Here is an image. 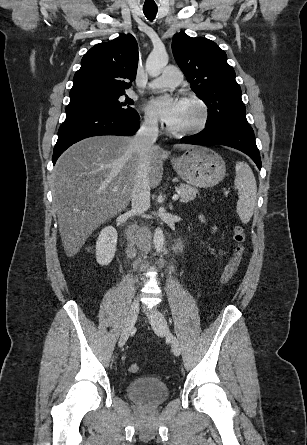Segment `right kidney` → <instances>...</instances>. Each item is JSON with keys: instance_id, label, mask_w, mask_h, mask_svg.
Masks as SVG:
<instances>
[{"instance_id": "obj_1", "label": "right kidney", "mask_w": 307, "mask_h": 445, "mask_svg": "<svg viewBox=\"0 0 307 445\" xmlns=\"http://www.w3.org/2000/svg\"><path fill=\"white\" fill-rule=\"evenodd\" d=\"M117 237L114 227L102 229L96 243V261L99 265L111 263L116 251Z\"/></svg>"}]
</instances>
